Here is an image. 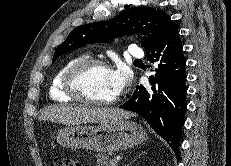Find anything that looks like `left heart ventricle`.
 <instances>
[{
  "label": "left heart ventricle",
  "mask_w": 231,
  "mask_h": 166,
  "mask_svg": "<svg viewBox=\"0 0 231 166\" xmlns=\"http://www.w3.org/2000/svg\"><path fill=\"white\" fill-rule=\"evenodd\" d=\"M79 83L82 91L91 98L111 100L117 96L113 88L110 70L89 69L81 76Z\"/></svg>",
  "instance_id": "b2bd125f"
}]
</instances>
